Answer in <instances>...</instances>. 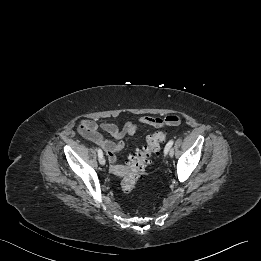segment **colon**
I'll list each match as a JSON object with an SVG mask.
<instances>
[{"instance_id": "colon-1", "label": "colon", "mask_w": 261, "mask_h": 261, "mask_svg": "<svg viewBox=\"0 0 261 261\" xmlns=\"http://www.w3.org/2000/svg\"><path fill=\"white\" fill-rule=\"evenodd\" d=\"M172 122H178L176 118ZM167 133L164 130L155 131L146 139V144L138 149L131 157L126 168V174L121 179L120 186L124 193H131L136 187V183L141 175L146 173L150 158L158 154L160 146L166 140ZM120 169L114 168L115 172Z\"/></svg>"}]
</instances>
